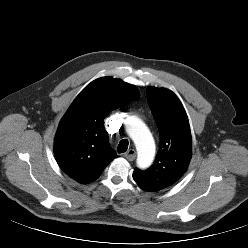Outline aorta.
Segmentation results:
<instances>
[{"mask_svg":"<svg viewBox=\"0 0 248 248\" xmlns=\"http://www.w3.org/2000/svg\"><path fill=\"white\" fill-rule=\"evenodd\" d=\"M125 127L136 146L138 166L141 168L150 166L155 156V142L149 129L135 116L125 120Z\"/></svg>","mask_w":248,"mask_h":248,"instance_id":"obj_1","label":"aorta"}]
</instances>
